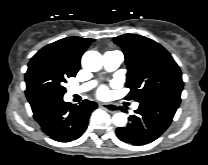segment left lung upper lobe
<instances>
[{"label":"left lung upper lobe","instance_id":"left-lung-upper-lobe-1","mask_svg":"<svg viewBox=\"0 0 208 165\" xmlns=\"http://www.w3.org/2000/svg\"><path fill=\"white\" fill-rule=\"evenodd\" d=\"M114 42L124 52L127 64L128 99L141 103L160 96L181 97L182 73L172 56L158 43L144 36L125 34Z\"/></svg>","mask_w":208,"mask_h":165}]
</instances>
